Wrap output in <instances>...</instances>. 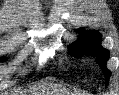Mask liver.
Segmentation results:
<instances>
[{
	"instance_id": "obj_1",
	"label": "liver",
	"mask_w": 119,
	"mask_h": 95,
	"mask_svg": "<svg viewBox=\"0 0 119 95\" xmlns=\"http://www.w3.org/2000/svg\"><path fill=\"white\" fill-rule=\"evenodd\" d=\"M56 92H57V93H61L60 95H65V92H59V91L57 90V88H56Z\"/></svg>"
}]
</instances>
